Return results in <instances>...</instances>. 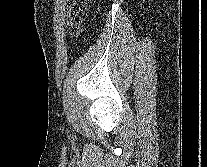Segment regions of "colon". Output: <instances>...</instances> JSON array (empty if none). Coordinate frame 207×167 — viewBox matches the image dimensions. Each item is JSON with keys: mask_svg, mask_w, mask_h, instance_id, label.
<instances>
[{"mask_svg": "<svg viewBox=\"0 0 207 167\" xmlns=\"http://www.w3.org/2000/svg\"><path fill=\"white\" fill-rule=\"evenodd\" d=\"M91 0H71L68 8L69 30L73 35L80 32V26L86 16Z\"/></svg>", "mask_w": 207, "mask_h": 167, "instance_id": "obj_1", "label": "colon"}]
</instances>
